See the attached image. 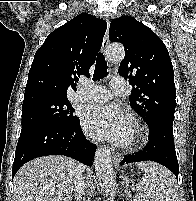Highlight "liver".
I'll return each instance as SVG.
<instances>
[{
	"instance_id": "6515ba94",
	"label": "liver",
	"mask_w": 196,
	"mask_h": 201,
	"mask_svg": "<svg viewBox=\"0 0 196 201\" xmlns=\"http://www.w3.org/2000/svg\"><path fill=\"white\" fill-rule=\"evenodd\" d=\"M80 163L43 156L24 164L14 177V201H70Z\"/></svg>"
}]
</instances>
